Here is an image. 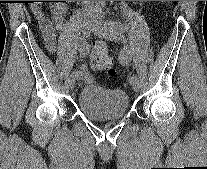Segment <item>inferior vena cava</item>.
<instances>
[{
	"label": "inferior vena cava",
	"mask_w": 207,
	"mask_h": 169,
	"mask_svg": "<svg viewBox=\"0 0 207 169\" xmlns=\"http://www.w3.org/2000/svg\"><path fill=\"white\" fill-rule=\"evenodd\" d=\"M85 3H87V4H93V3H95L96 1H84Z\"/></svg>",
	"instance_id": "inferior-vena-cava-1"
}]
</instances>
